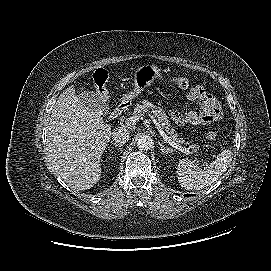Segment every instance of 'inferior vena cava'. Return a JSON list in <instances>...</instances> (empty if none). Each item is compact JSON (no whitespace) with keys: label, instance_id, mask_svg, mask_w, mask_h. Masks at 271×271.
Wrapping results in <instances>:
<instances>
[{"label":"inferior vena cava","instance_id":"obj_1","mask_svg":"<svg viewBox=\"0 0 271 271\" xmlns=\"http://www.w3.org/2000/svg\"><path fill=\"white\" fill-rule=\"evenodd\" d=\"M112 139L116 143L124 144L129 140V131L122 127L116 128L112 132Z\"/></svg>","mask_w":271,"mask_h":271}]
</instances>
